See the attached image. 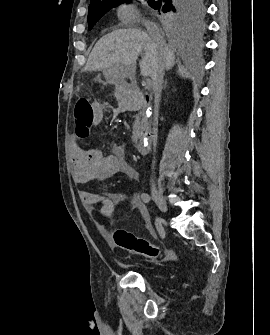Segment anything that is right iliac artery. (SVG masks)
I'll return each mask as SVG.
<instances>
[{
	"instance_id": "obj_1",
	"label": "right iliac artery",
	"mask_w": 270,
	"mask_h": 335,
	"mask_svg": "<svg viewBox=\"0 0 270 335\" xmlns=\"http://www.w3.org/2000/svg\"><path fill=\"white\" fill-rule=\"evenodd\" d=\"M141 199L143 200V202L149 203L151 198H150L149 194L143 193L141 195ZM155 226H156V229H157L158 233L160 234V236L162 238H164L165 232H164V229L162 227L161 220L159 218H156V220H155Z\"/></svg>"
}]
</instances>
